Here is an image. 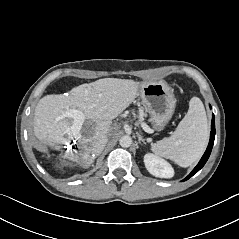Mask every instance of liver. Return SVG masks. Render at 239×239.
I'll list each match as a JSON object with an SVG mask.
<instances>
[{
    "label": "liver",
    "mask_w": 239,
    "mask_h": 239,
    "mask_svg": "<svg viewBox=\"0 0 239 239\" xmlns=\"http://www.w3.org/2000/svg\"><path fill=\"white\" fill-rule=\"evenodd\" d=\"M141 84L128 79L104 78L77 86L66 94L44 96L34 111L33 133L40 142L37 148L44 151L46 146L61 144L74 120L69 117L57 118L69 109H78L84 114V121L95 122V126L93 135L83 140L85 152L74 156L73 160L91 164L95 154H99L94 149L97 138L108 135L112 120L134 101ZM90 152L93 153L92 157Z\"/></svg>",
    "instance_id": "liver-1"
}]
</instances>
